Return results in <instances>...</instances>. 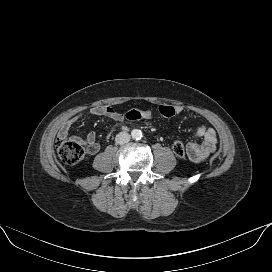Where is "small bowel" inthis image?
Masks as SVG:
<instances>
[{"mask_svg": "<svg viewBox=\"0 0 272 272\" xmlns=\"http://www.w3.org/2000/svg\"><path fill=\"white\" fill-rule=\"evenodd\" d=\"M175 109L176 114H182L184 111L182 106H176ZM88 113L94 116H106L118 122H121L126 118L124 114L109 105L95 106L91 108ZM82 116L83 114H79L63 121L58 131V137L61 140L71 139L83 143L87 146L89 154H95L99 151L100 145L96 141V135L94 132H89L84 137L69 135L71 127ZM194 136L201 140L200 142L188 143L185 148L186 155L193 162H201L215 151L217 134L213 128L201 125L195 130Z\"/></svg>", "mask_w": 272, "mask_h": 272, "instance_id": "c3829d8e", "label": "small bowel"}]
</instances>
